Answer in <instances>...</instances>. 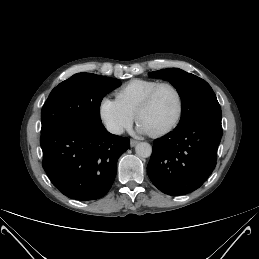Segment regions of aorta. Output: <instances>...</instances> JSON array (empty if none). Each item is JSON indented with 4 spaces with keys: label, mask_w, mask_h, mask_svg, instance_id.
Listing matches in <instances>:
<instances>
[{
    "label": "aorta",
    "mask_w": 259,
    "mask_h": 259,
    "mask_svg": "<svg viewBox=\"0 0 259 259\" xmlns=\"http://www.w3.org/2000/svg\"><path fill=\"white\" fill-rule=\"evenodd\" d=\"M135 152L141 158H148L151 156L152 147L147 142H140L136 145Z\"/></svg>",
    "instance_id": "1"
}]
</instances>
